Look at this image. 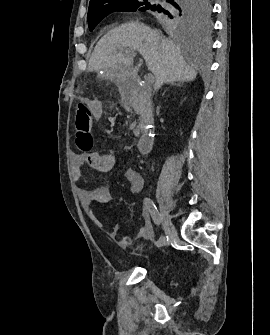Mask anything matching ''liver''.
Instances as JSON below:
<instances>
[{"instance_id":"obj_1","label":"liver","mask_w":270,"mask_h":335,"mask_svg":"<svg viewBox=\"0 0 270 335\" xmlns=\"http://www.w3.org/2000/svg\"><path fill=\"white\" fill-rule=\"evenodd\" d=\"M127 50L139 52L144 58L148 70L156 76L155 90L168 82H192L197 76V72L186 64L176 42L141 22H127L107 32L91 54L89 72L120 70L129 78L133 58L123 54Z\"/></svg>"}]
</instances>
